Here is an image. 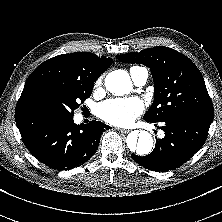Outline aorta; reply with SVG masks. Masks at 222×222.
<instances>
[{
    "mask_svg": "<svg viewBox=\"0 0 222 222\" xmlns=\"http://www.w3.org/2000/svg\"><path fill=\"white\" fill-rule=\"evenodd\" d=\"M106 89L114 95L128 94L132 90L130 76L124 70H115L109 73L105 78ZM130 152L145 156L153 148V137L147 131H133L126 140Z\"/></svg>",
    "mask_w": 222,
    "mask_h": 222,
    "instance_id": "aorta-1",
    "label": "aorta"
}]
</instances>
